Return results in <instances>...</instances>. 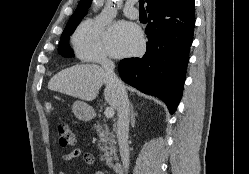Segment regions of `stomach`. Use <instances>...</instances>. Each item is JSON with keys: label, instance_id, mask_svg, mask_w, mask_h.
Masks as SVG:
<instances>
[{"label": "stomach", "instance_id": "obj_1", "mask_svg": "<svg viewBox=\"0 0 249 174\" xmlns=\"http://www.w3.org/2000/svg\"><path fill=\"white\" fill-rule=\"evenodd\" d=\"M74 115L82 121H88L93 116L91 106L83 101H75L72 107Z\"/></svg>", "mask_w": 249, "mask_h": 174}]
</instances>
